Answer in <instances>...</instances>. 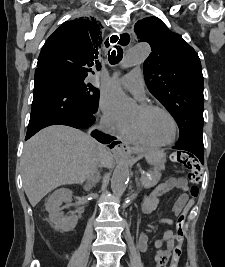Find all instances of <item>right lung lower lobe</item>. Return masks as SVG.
<instances>
[{
	"label": "right lung lower lobe",
	"mask_w": 225,
	"mask_h": 267,
	"mask_svg": "<svg viewBox=\"0 0 225 267\" xmlns=\"http://www.w3.org/2000/svg\"><path fill=\"white\" fill-rule=\"evenodd\" d=\"M93 114L60 72L43 67L35 70L32 111L25 140L50 125L88 128L95 122ZM92 136L103 143L114 139L97 131ZM113 146L114 142L109 145Z\"/></svg>",
	"instance_id": "1"
}]
</instances>
